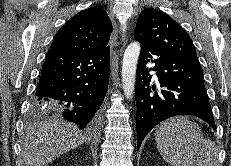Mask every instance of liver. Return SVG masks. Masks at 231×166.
Segmentation results:
<instances>
[{"instance_id":"6515ba94","label":"liver","mask_w":231,"mask_h":166,"mask_svg":"<svg viewBox=\"0 0 231 166\" xmlns=\"http://www.w3.org/2000/svg\"><path fill=\"white\" fill-rule=\"evenodd\" d=\"M86 141L74 123L53 117L30 127L23 138L25 166H47Z\"/></svg>"}]
</instances>
